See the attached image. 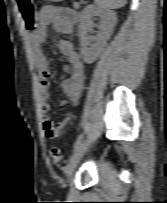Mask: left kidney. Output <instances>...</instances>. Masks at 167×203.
Returning a JSON list of instances; mask_svg holds the SVG:
<instances>
[{
    "instance_id": "obj_1",
    "label": "left kidney",
    "mask_w": 167,
    "mask_h": 203,
    "mask_svg": "<svg viewBox=\"0 0 167 203\" xmlns=\"http://www.w3.org/2000/svg\"><path fill=\"white\" fill-rule=\"evenodd\" d=\"M94 17H100L102 21L98 26L100 32L95 39V43L92 44L89 33L93 29L92 18ZM116 22L117 16L113 11L96 5H89L84 9L79 25L80 50L84 62L91 64L96 61L106 46Z\"/></svg>"
}]
</instances>
